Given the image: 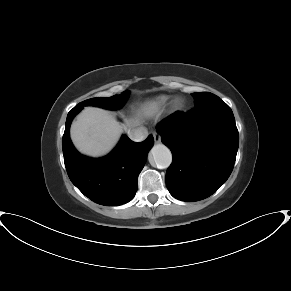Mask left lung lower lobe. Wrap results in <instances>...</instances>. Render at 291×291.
<instances>
[{"instance_id": "left-lung-lower-lobe-1", "label": "left lung lower lobe", "mask_w": 291, "mask_h": 291, "mask_svg": "<svg viewBox=\"0 0 291 291\" xmlns=\"http://www.w3.org/2000/svg\"><path fill=\"white\" fill-rule=\"evenodd\" d=\"M156 130L173 155L166 186L176 199H205L230 176L239 134L231 108L221 99L186 113L175 112Z\"/></svg>"}]
</instances>
